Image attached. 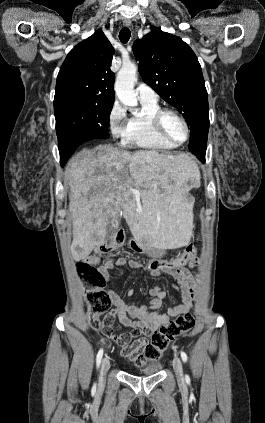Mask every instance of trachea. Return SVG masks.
<instances>
[{
	"mask_svg": "<svg viewBox=\"0 0 265 423\" xmlns=\"http://www.w3.org/2000/svg\"><path fill=\"white\" fill-rule=\"evenodd\" d=\"M131 36L130 30L127 27L121 29L119 33V39L122 43H127Z\"/></svg>",
	"mask_w": 265,
	"mask_h": 423,
	"instance_id": "obj_1",
	"label": "trachea"
}]
</instances>
